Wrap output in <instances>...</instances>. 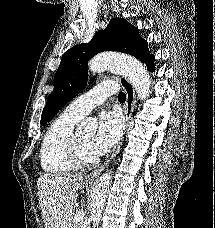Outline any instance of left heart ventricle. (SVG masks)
Returning <instances> with one entry per match:
<instances>
[{
  "mask_svg": "<svg viewBox=\"0 0 215 228\" xmlns=\"http://www.w3.org/2000/svg\"><path fill=\"white\" fill-rule=\"evenodd\" d=\"M77 137L84 156L89 159H93L97 157L92 148L94 132H88V131L78 132Z\"/></svg>",
  "mask_w": 215,
  "mask_h": 228,
  "instance_id": "obj_1",
  "label": "left heart ventricle"
}]
</instances>
